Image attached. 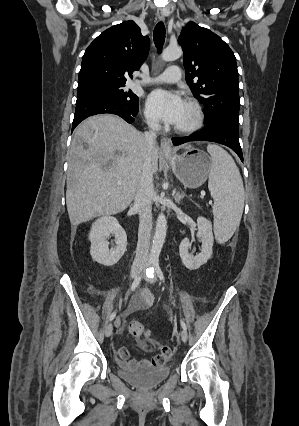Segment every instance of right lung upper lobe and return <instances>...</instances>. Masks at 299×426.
I'll use <instances>...</instances> for the list:
<instances>
[{
  "label": "right lung upper lobe",
  "instance_id": "right-lung-upper-lobe-1",
  "mask_svg": "<svg viewBox=\"0 0 299 426\" xmlns=\"http://www.w3.org/2000/svg\"><path fill=\"white\" fill-rule=\"evenodd\" d=\"M150 40L140 28L125 21L102 32L86 49L78 86L93 83L125 84L148 56Z\"/></svg>",
  "mask_w": 299,
  "mask_h": 426
}]
</instances>
